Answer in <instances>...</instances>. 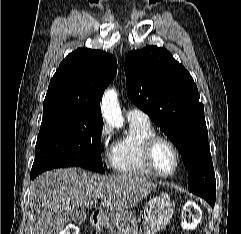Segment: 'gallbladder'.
I'll use <instances>...</instances> for the list:
<instances>
[{
    "label": "gallbladder",
    "instance_id": "bac80fb5",
    "mask_svg": "<svg viewBox=\"0 0 241 234\" xmlns=\"http://www.w3.org/2000/svg\"><path fill=\"white\" fill-rule=\"evenodd\" d=\"M85 220V211L84 210H77L75 215V222L82 223Z\"/></svg>",
    "mask_w": 241,
    "mask_h": 234
}]
</instances>
